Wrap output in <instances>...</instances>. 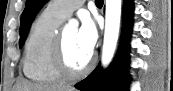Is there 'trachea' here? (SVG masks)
Instances as JSON below:
<instances>
[{
  "label": "trachea",
  "instance_id": "obj_1",
  "mask_svg": "<svg viewBox=\"0 0 173 91\" xmlns=\"http://www.w3.org/2000/svg\"><path fill=\"white\" fill-rule=\"evenodd\" d=\"M96 5H103V0H95Z\"/></svg>",
  "mask_w": 173,
  "mask_h": 91
}]
</instances>
